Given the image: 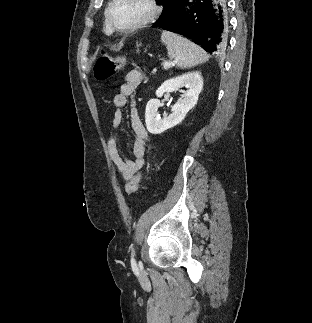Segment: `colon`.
Returning a JSON list of instances; mask_svg holds the SVG:
<instances>
[{"label":"colon","mask_w":312,"mask_h":323,"mask_svg":"<svg viewBox=\"0 0 312 323\" xmlns=\"http://www.w3.org/2000/svg\"><path fill=\"white\" fill-rule=\"evenodd\" d=\"M126 66L125 57L113 58L109 54L104 53L101 55L94 64V74L100 80H106L111 75H113L117 70ZM142 179V174L134 177L130 184L124 185V190L126 194H129V191H135Z\"/></svg>","instance_id":"5ec220e1"}]
</instances>
